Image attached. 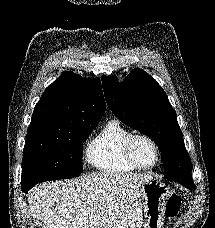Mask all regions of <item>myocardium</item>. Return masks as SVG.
<instances>
[{
  "mask_svg": "<svg viewBox=\"0 0 215 228\" xmlns=\"http://www.w3.org/2000/svg\"><path fill=\"white\" fill-rule=\"evenodd\" d=\"M138 140H146L147 142H149L156 154V160L154 164L151 165L150 167H142L139 164H137V162L134 159L133 150ZM124 156L127 163L133 169L140 170V171H150L154 169L161 160V152L157 142L152 137L143 133H134L127 139V141L124 144Z\"/></svg>",
  "mask_w": 215,
  "mask_h": 228,
  "instance_id": "obj_1",
  "label": "myocardium"
}]
</instances>
